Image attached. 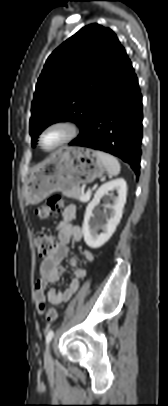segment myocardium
Masks as SVG:
<instances>
[{
    "mask_svg": "<svg viewBox=\"0 0 168 406\" xmlns=\"http://www.w3.org/2000/svg\"><path fill=\"white\" fill-rule=\"evenodd\" d=\"M53 128H60V129L64 130L65 135H64L63 139L56 146L51 147V148H46L43 145L42 138L48 130L53 129ZM78 132H79V128L75 122H73L71 120H67V119L55 120V121L48 123L40 131V133L38 135V143H39L40 147L47 152L55 151L65 145H67L69 142H71L78 135Z\"/></svg>",
    "mask_w": 168,
    "mask_h": 406,
    "instance_id": "myocardium-1",
    "label": "myocardium"
}]
</instances>
